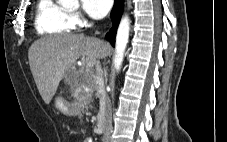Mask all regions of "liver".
Here are the masks:
<instances>
[{
  "label": "liver",
  "mask_w": 227,
  "mask_h": 142,
  "mask_svg": "<svg viewBox=\"0 0 227 142\" xmlns=\"http://www.w3.org/2000/svg\"><path fill=\"white\" fill-rule=\"evenodd\" d=\"M110 49L108 43L83 34L49 35L36 40L29 48L28 58L43 101L51 102L66 71L80 57L92 69L97 59L105 58Z\"/></svg>",
  "instance_id": "liver-1"
}]
</instances>
